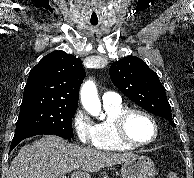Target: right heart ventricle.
<instances>
[{"label": "right heart ventricle", "instance_id": "right-heart-ventricle-1", "mask_svg": "<svg viewBox=\"0 0 194 178\" xmlns=\"http://www.w3.org/2000/svg\"><path fill=\"white\" fill-rule=\"evenodd\" d=\"M106 119L94 125L95 143L94 146L101 150L123 151L133 147L122 144L116 137L113 121L114 118L125 108L121 101L104 103Z\"/></svg>", "mask_w": 194, "mask_h": 178}]
</instances>
